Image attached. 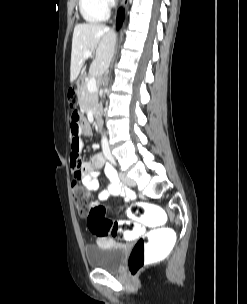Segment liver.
<instances>
[{"label": "liver", "instance_id": "1", "mask_svg": "<svg viewBox=\"0 0 247 304\" xmlns=\"http://www.w3.org/2000/svg\"><path fill=\"white\" fill-rule=\"evenodd\" d=\"M115 43L116 34L113 29L97 23L77 24L72 38L70 82H74L79 76L86 51L94 52L95 55L89 74L94 77L102 76L109 68Z\"/></svg>", "mask_w": 247, "mask_h": 304}]
</instances>
